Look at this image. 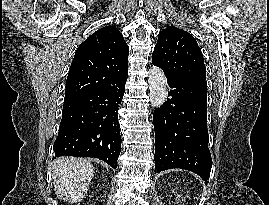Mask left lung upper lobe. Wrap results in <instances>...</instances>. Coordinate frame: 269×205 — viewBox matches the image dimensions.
<instances>
[{
  "label": "left lung upper lobe",
  "mask_w": 269,
  "mask_h": 205,
  "mask_svg": "<svg viewBox=\"0 0 269 205\" xmlns=\"http://www.w3.org/2000/svg\"><path fill=\"white\" fill-rule=\"evenodd\" d=\"M152 61L165 75L206 80V67L195 38L188 32L168 26L160 32Z\"/></svg>",
  "instance_id": "left-lung-upper-lobe-1"
}]
</instances>
